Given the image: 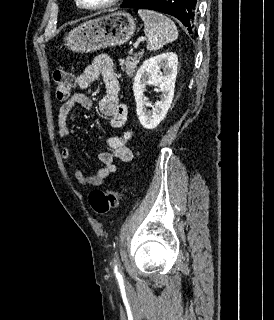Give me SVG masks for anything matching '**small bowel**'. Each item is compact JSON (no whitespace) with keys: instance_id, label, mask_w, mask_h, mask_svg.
Returning <instances> with one entry per match:
<instances>
[{"instance_id":"1","label":"small bowel","mask_w":274,"mask_h":320,"mask_svg":"<svg viewBox=\"0 0 274 320\" xmlns=\"http://www.w3.org/2000/svg\"><path fill=\"white\" fill-rule=\"evenodd\" d=\"M101 78L105 94L99 102V111L110 118L109 126L112 129H120L127 124L128 109L119 99L121 90L120 82L107 55L97 56L93 62L87 66L83 72L77 76V85L81 89H87ZM76 104H80L85 109H91L92 100L82 94L75 93L65 101L58 110L57 126L61 138L70 135L68 127L69 115ZM132 137L130 130H125L118 135L108 136L106 144L110 152H103L99 155L102 167L93 175H85L71 160L70 149L67 146L61 148V157L68 167L72 169L77 182L82 186H99L116 172L115 160L121 162L131 161L133 154L127 143Z\"/></svg>"}]
</instances>
